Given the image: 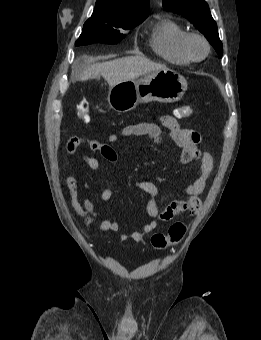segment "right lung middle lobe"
Returning <instances> with one entry per match:
<instances>
[{
	"mask_svg": "<svg viewBox=\"0 0 261 340\" xmlns=\"http://www.w3.org/2000/svg\"><path fill=\"white\" fill-rule=\"evenodd\" d=\"M145 19H114L102 14L94 13L83 27L82 33L75 45H86L91 43L116 44L124 38L119 28L132 29Z\"/></svg>",
	"mask_w": 261,
	"mask_h": 340,
	"instance_id": "1",
	"label": "right lung middle lobe"
}]
</instances>
